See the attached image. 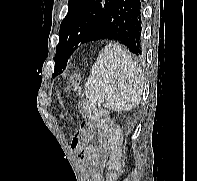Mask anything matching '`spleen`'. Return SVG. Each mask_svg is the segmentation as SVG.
<instances>
[{
	"label": "spleen",
	"mask_w": 197,
	"mask_h": 181,
	"mask_svg": "<svg viewBox=\"0 0 197 181\" xmlns=\"http://www.w3.org/2000/svg\"><path fill=\"white\" fill-rule=\"evenodd\" d=\"M143 86L141 67L121 46L109 44L91 68L85 95L99 106L127 111L141 101Z\"/></svg>",
	"instance_id": "3e777b00"
}]
</instances>
